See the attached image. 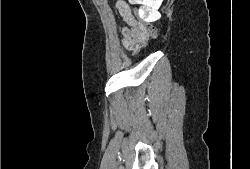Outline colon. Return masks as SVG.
<instances>
[{"mask_svg": "<svg viewBox=\"0 0 250 169\" xmlns=\"http://www.w3.org/2000/svg\"><path fill=\"white\" fill-rule=\"evenodd\" d=\"M121 11L127 15H130L128 7L124 3L119 4ZM136 19L139 21L140 25H143L139 30V36L135 38L138 43H145V41L150 38H157L156 27L149 20L144 18L143 14H140V8L135 7Z\"/></svg>", "mask_w": 250, "mask_h": 169, "instance_id": "1", "label": "colon"}]
</instances>
